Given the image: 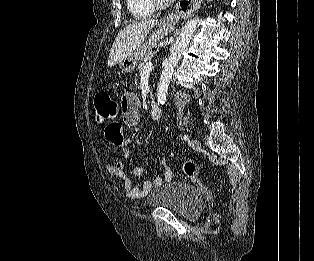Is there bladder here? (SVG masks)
<instances>
[{
    "mask_svg": "<svg viewBox=\"0 0 314 261\" xmlns=\"http://www.w3.org/2000/svg\"><path fill=\"white\" fill-rule=\"evenodd\" d=\"M147 203L151 207L165 208L192 220L199 215L204 200L194 186L173 181L152 189L148 194Z\"/></svg>",
    "mask_w": 314,
    "mask_h": 261,
    "instance_id": "31cf9c89",
    "label": "bladder"
}]
</instances>
